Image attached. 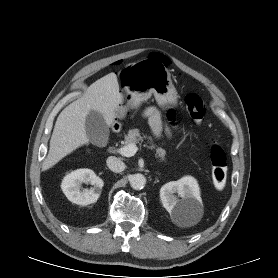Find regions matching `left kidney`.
<instances>
[{
  "label": "left kidney",
  "instance_id": "obj_1",
  "mask_svg": "<svg viewBox=\"0 0 278 278\" xmlns=\"http://www.w3.org/2000/svg\"><path fill=\"white\" fill-rule=\"evenodd\" d=\"M160 198L164 208L176 223L191 225L198 221L203 204L199 185L192 176L166 183L160 189Z\"/></svg>",
  "mask_w": 278,
  "mask_h": 278
}]
</instances>
